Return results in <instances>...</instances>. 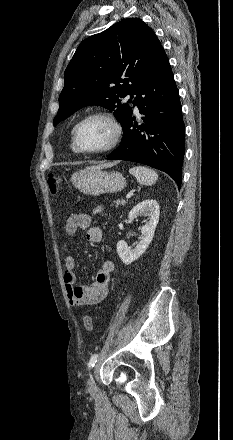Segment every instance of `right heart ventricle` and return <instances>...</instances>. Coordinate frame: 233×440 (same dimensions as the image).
Here are the masks:
<instances>
[{"label": "right heart ventricle", "mask_w": 233, "mask_h": 440, "mask_svg": "<svg viewBox=\"0 0 233 440\" xmlns=\"http://www.w3.org/2000/svg\"><path fill=\"white\" fill-rule=\"evenodd\" d=\"M71 149H72L73 152H77V151L75 150L73 144H71Z\"/></svg>", "instance_id": "obj_1"}]
</instances>
